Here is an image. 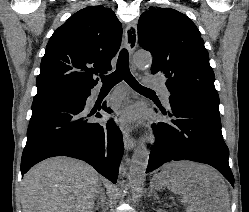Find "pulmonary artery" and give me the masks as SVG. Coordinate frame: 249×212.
Returning a JSON list of instances; mask_svg holds the SVG:
<instances>
[{"instance_id": "e3ab8cb5", "label": "pulmonary artery", "mask_w": 249, "mask_h": 212, "mask_svg": "<svg viewBox=\"0 0 249 212\" xmlns=\"http://www.w3.org/2000/svg\"><path fill=\"white\" fill-rule=\"evenodd\" d=\"M153 88L156 89L160 93V96H161V99L164 105L166 107H169L170 106V103H169L170 92L168 88L165 86V84L159 83L153 86Z\"/></svg>"}]
</instances>
